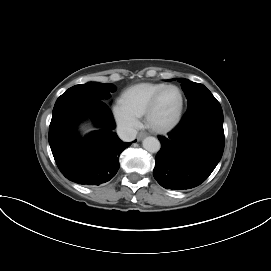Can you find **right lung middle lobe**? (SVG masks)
Listing matches in <instances>:
<instances>
[{"label":"right lung middle lobe","mask_w":271,"mask_h":271,"mask_svg":"<svg viewBox=\"0 0 271 271\" xmlns=\"http://www.w3.org/2000/svg\"><path fill=\"white\" fill-rule=\"evenodd\" d=\"M115 91L111 84H101L89 82L75 85L64 92L56 101L55 106L78 101L104 100L110 97V93Z\"/></svg>","instance_id":"1"}]
</instances>
